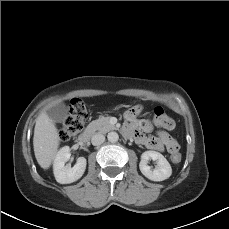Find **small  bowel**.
<instances>
[{"label": "small bowel", "instance_id": "small-bowel-1", "mask_svg": "<svg viewBox=\"0 0 229 229\" xmlns=\"http://www.w3.org/2000/svg\"><path fill=\"white\" fill-rule=\"evenodd\" d=\"M141 112L142 107L140 105H135L125 112L123 127V134L125 136L133 137L138 144L155 151H163L169 142L177 143L167 132L173 129V127H167L163 121L162 118L166 117V115L161 107H156L154 110V124L161 128L155 136H145L142 133V131H150L151 125L149 121L139 118Z\"/></svg>", "mask_w": 229, "mask_h": 229}]
</instances>
